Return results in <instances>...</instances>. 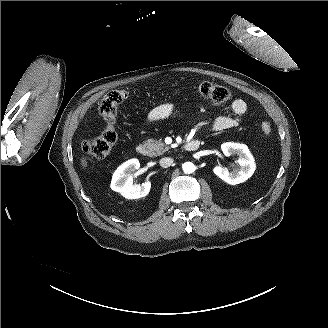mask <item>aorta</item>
<instances>
[{
	"label": "aorta",
	"mask_w": 328,
	"mask_h": 328,
	"mask_svg": "<svg viewBox=\"0 0 328 328\" xmlns=\"http://www.w3.org/2000/svg\"><path fill=\"white\" fill-rule=\"evenodd\" d=\"M182 169H183L184 173L191 174L195 171V166L192 162H185L182 165Z\"/></svg>",
	"instance_id": "762f6f07"
}]
</instances>
